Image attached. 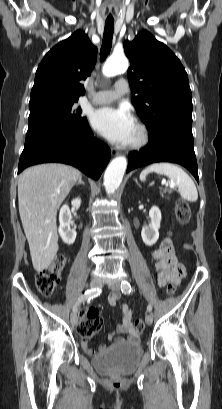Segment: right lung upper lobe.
Wrapping results in <instances>:
<instances>
[{
    "instance_id": "right-lung-upper-lobe-1",
    "label": "right lung upper lobe",
    "mask_w": 222,
    "mask_h": 409,
    "mask_svg": "<svg viewBox=\"0 0 222 409\" xmlns=\"http://www.w3.org/2000/svg\"><path fill=\"white\" fill-rule=\"evenodd\" d=\"M97 48L78 30L55 45L36 71L29 108L51 102L77 101L85 90L81 84L94 68Z\"/></svg>"
}]
</instances>
